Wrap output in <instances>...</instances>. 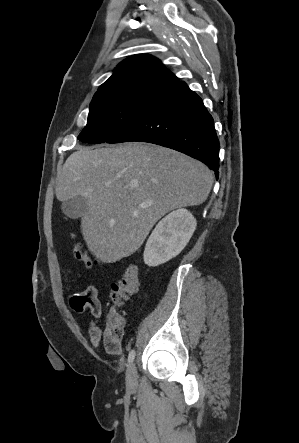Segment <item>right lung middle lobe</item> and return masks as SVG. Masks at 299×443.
I'll return each mask as SVG.
<instances>
[{
    "mask_svg": "<svg viewBox=\"0 0 299 443\" xmlns=\"http://www.w3.org/2000/svg\"><path fill=\"white\" fill-rule=\"evenodd\" d=\"M166 89L155 87L121 88L94 95L85 128L78 139L84 143H104L130 126Z\"/></svg>",
    "mask_w": 299,
    "mask_h": 443,
    "instance_id": "dd1d6c3e",
    "label": "right lung middle lobe"
}]
</instances>
